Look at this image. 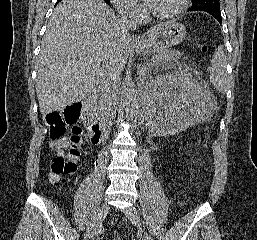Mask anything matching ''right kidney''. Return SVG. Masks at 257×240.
<instances>
[{
  "instance_id": "right-kidney-1",
  "label": "right kidney",
  "mask_w": 257,
  "mask_h": 240,
  "mask_svg": "<svg viewBox=\"0 0 257 240\" xmlns=\"http://www.w3.org/2000/svg\"><path fill=\"white\" fill-rule=\"evenodd\" d=\"M84 136H85V139H86V140H88V138H87V137H89V136H90L89 132H88L87 134H85Z\"/></svg>"
}]
</instances>
